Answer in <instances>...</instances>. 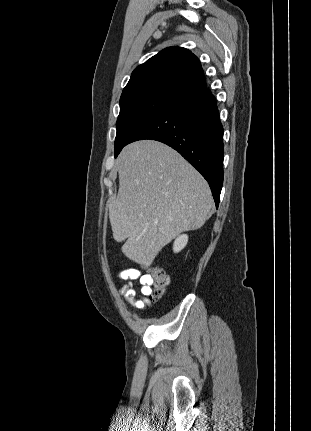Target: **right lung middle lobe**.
Listing matches in <instances>:
<instances>
[{
	"mask_svg": "<svg viewBox=\"0 0 311 431\" xmlns=\"http://www.w3.org/2000/svg\"><path fill=\"white\" fill-rule=\"evenodd\" d=\"M179 97L174 93L154 88L122 94L120 114L117 119V135L114 142L115 157L140 125Z\"/></svg>",
	"mask_w": 311,
	"mask_h": 431,
	"instance_id": "right-lung-middle-lobe-1",
	"label": "right lung middle lobe"
}]
</instances>
